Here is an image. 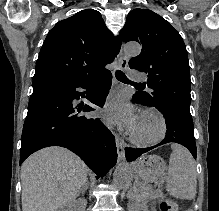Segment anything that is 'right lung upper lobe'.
<instances>
[{
  "label": "right lung upper lobe",
  "instance_id": "right-lung-upper-lobe-1",
  "mask_svg": "<svg viewBox=\"0 0 219 211\" xmlns=\"http://www.w3.org/2000/svg\"><path fill=\"white\" fill-rule=\"evenodd\" d=\"M120 47V38L112 37L98 11L82 10L49 31L33 81L97 76L114 60Z\"/></svg>",
  "mask_w": 219,
  "mask_h": 211
}]
</instances>
